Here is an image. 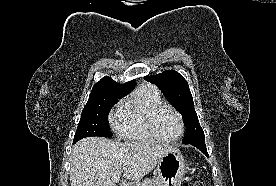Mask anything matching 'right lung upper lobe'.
<instances>
[{"label": "right lung upper lobe", "instance_id": "obj_1", "mask_svg": "<svg viewBox=\"0 0 276 186\" xmlns=\"http://www.w3.org/2000/svg\"><path fill=\"white\" fill-rule=\"evenodd\" d=\"M135 84V80L125 84H120L112 80L110 77L105 76L93 86L91 93L110 92L127 95L133 90Z\"/></svg>", "mask_w": 276, "mask_h": 186}]
</instances>
